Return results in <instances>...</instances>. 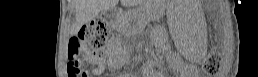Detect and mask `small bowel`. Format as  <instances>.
I'll use <instances>...</instances> for the list:
<instances>
[{"mask_svg":"<svg viewBox=\"0 0 258 77\" xmlns=\"http://www.w3.org/2000/svg\"><path fill=\"white\" fill-rule=\"evenodd\" d=\"M112 53H94L90 56V61L95 65V73L108 68L112 61Z\"/></svg>","mask_w":258,"mask_h":77,"instance_id":"c3829d8e","label":"small bowel"}]
</instances>
